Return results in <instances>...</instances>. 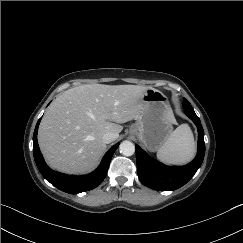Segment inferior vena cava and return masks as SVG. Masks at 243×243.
<instances>
[{"label":"inferior vena cava","instance_id":"1","mask_svg":"<svg viewBox=\"0 0 243 243\" xmlns=\"http://www.w3.org/2000/svg\"><path fill=\"white\" fill-rule=\"evenodd\" d=\"M103 141L108 144L116 139V135L113 132H106L102 136Z\"/></svg>","mask_w":243,"mask_h":243}]
</instances>
